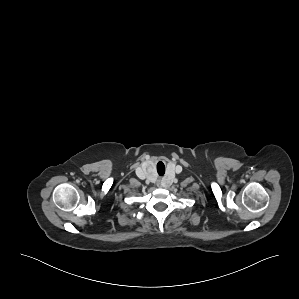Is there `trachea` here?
I'll return each instance as SVG.
<instances>
[{"mask_svg": "<svg viewBox=\"0 0 299 299\" xmlns=\"http://www.w3.org/2000/svg\"><path fill=\"white\" fill-rule=\"evenodd\" d=\"M157 172L160 176H163L165 174V166L163 163H158Z\"/></svg>", "mask_w": 299, "mask_h": 299, "instance_id": "trachea-1", "label": "trachea"}]
</instances>
